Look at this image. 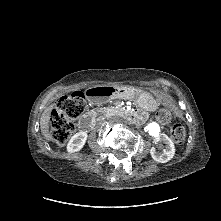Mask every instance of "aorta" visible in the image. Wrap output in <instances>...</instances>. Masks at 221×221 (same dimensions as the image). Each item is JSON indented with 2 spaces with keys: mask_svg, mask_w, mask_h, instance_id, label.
Here are the masks:
<instances>
[{
  "mask_svg": "<svg viewBox=\"0 0 221 221\" xmlns=\"http://www.w3.org/2000/svg\"><path fill=\"white\" fill-rule=\"evenodd\" d=\"M145 130L151 135V136H157L160 131V127L157 123H151L145 127Z\"/></svg>",
  "mask_w": 221,
  "mask_h": 221,
  "instance_id": "aorta-1",
  "label": "aorta"
}]
</instances>
